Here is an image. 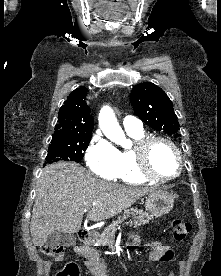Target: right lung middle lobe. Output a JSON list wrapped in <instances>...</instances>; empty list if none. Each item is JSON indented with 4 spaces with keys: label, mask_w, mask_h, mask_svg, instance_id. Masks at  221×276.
Wrapping results in <instances>:
<instances>
[{
    "label": "right lung middle lobe",
    "mask_w": 221,
    "mask_h": 276,
    "mask_svg": "<svg viewBox=\"0 0 221 276\" xmlns=\"http://www.w3.org/2000/svg\"><path fill=\"white\" fill-rule=\"evenodd\" d=\"M90 141L91 137L51 140L44 166L60 160L81 161Z\"/></svg>",
    "instance_id": "obj_1"
}]
</instances>
